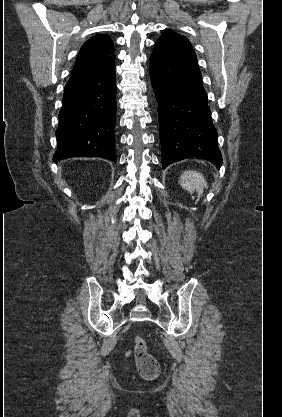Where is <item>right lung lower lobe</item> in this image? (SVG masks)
<instances>
[{
  "label": "right lung lower lobe",
  "instance_id": "right-lung-lower-lobe-1",
  "mask_svg": "<svg viewBox=\"0 0 282 417\" xmlns=\"http://www.w3.org/2000/svg\"><path fill=\"white\" fill-rule=\"evenodd\" d=\"M114 61L73 75L66 84L54 162L69 157L97 156L116 163Z\"/></svg>",
  "mask_w": 282,
  "mask_h": 417
}]
</instances>
